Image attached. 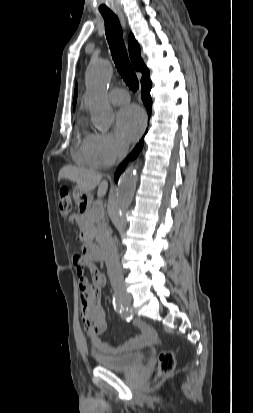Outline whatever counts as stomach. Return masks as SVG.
<instances>
[{"instance_id":"stomach-1","label":"stomach","mask_w":253,"mask_h":413,"mask_svg":"<svg viewBox=\"0 0 253 413\" xmlns=\"http://www.w3.org/2000/svg\"><path fill=\"white\" fill-rule=\"evenodd\" d=\"M73 198L79 206L89 205L91 202V194L81 190L78 186L73 190Z\"/></svg>"}]
</instances>
